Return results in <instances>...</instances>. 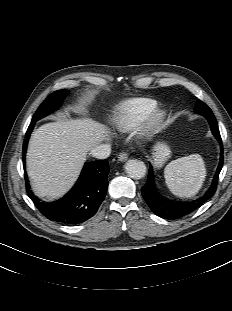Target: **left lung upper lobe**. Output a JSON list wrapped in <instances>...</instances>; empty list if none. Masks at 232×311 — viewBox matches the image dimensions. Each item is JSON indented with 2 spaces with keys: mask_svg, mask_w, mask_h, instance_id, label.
<instances>
[{
  "mask_svg": "<svg viewBox=\"0 0 232 311\" xmlns=\"http://www.w3.org/2000/svg\"><path fill=\"white\" fill-rule=\"evenodd\" d=\"M211 109L202 101L198 100L195 106V112L201 113V112H209Z\"/></svg>",
  "mask_w": 232,
  "mask_h": 311,
  "instance_id": "left-lung-upper-lobe-1",
  "label": "left lung upper lobe"
}]
</instances>
